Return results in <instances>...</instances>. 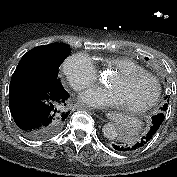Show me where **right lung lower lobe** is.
<instances>
[{"label": "right lung lower lobe", "instance_id": "98d812e1", "mask_svg": "<svg viewBox=\"0 0 177 177\" xmlns=\"http://www.w3.org/2000/svg\"><path fill=\"white\" fill-rule=\"evenodd\" d=\"M67 91L34 83H10L9 105L20 131L30 139H45L57 134L69 115Z\"/></svg>", "mask_w": 177, "mask_h": 177}]
</instances>
